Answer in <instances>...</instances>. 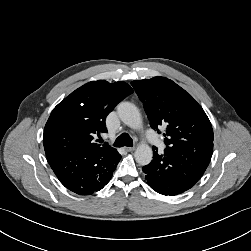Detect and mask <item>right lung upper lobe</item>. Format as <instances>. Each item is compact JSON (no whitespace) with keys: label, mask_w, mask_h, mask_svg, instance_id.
<instances>
[{"label":"right lung upper lobe","mask_w":251,"mask_h":251,"mask_svg":"<svg viewBox=\"0 0 251 251\" xmlns=\"http://www.w3.org/2000/svg\"><path fill=\"white\" fill-rule=\"evenodd\" d=\"M132 93V88L123 81H91L76 89L51 112L44 129L45 152L56 149L52 144L53 136L64 132L70 137L68 147L102 154L106 164L113 163L116 149L94 143L93 136L107 131L106 116Z\"/></svg>","instance_id":"obj_1"}]
</instances>
